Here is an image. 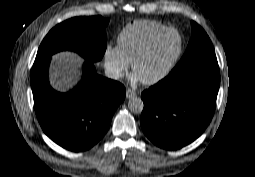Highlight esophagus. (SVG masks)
<instances>
[{"mask_svg": "<svg viewBox=\"0 0 255 177\" xmlns=\"http://www.w3.org/2000/svg\"><path fill=\"white\" fill-rule=\"evenodd\" d=\"M136 95H137L136 92H134L133 90L131 89L126 90V98L130 99L132 97H135Z\"/></svg>", "mask_w": 255, "mask_h": 177, "instance_id": "obj_1", "label": "esophagus"}]
</instances>
